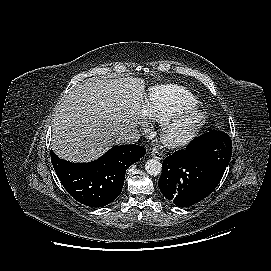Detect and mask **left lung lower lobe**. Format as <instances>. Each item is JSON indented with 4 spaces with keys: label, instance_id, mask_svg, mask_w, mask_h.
<instances>
[{
    "label": "left lung lower lobe",
    "instance_id": "obj_1",
    "mask_svg": "<svg viewBox=\"0 0 271 271\" xmlns=\"http://www.w3.org/2000/svg\"><path fill=\"white\" fill-rule=\"evenodd\" d=\"M225 135L222 131L211 130L192 140L184 150L165 158L158 186L168 200L178 207H189L214 191L225 171L201 159L199 150Z\"/></svg>",
    "mask_w": 271,
    "mask_h": 271
}]
</instances>
